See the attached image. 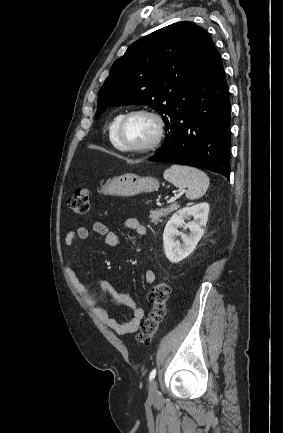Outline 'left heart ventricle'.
<instances>
[{
    "label": "left heart ventricle",
    "instance_id": "left-heart-ventricle-1",
    "mask_svg": "<svg viewBox=\"0 0 283 433\" xmlns=\"http://www.w3.org/2000/svg\"><path fill=\"white\" fill-rule=\"evenodd\" d=\"M157 134V123L153 118L137 114L128 119L122 130V139L129 146H143L150 143Z\"/></svg>",
    "mask_w": 283,
    "mask_h": 433
}]
</instances>
